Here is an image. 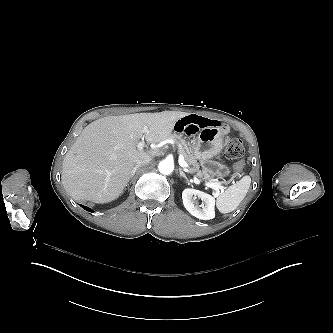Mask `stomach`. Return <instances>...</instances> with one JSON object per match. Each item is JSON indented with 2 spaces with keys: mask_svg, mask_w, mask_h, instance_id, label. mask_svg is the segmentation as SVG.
Listing matches in <instances>:
<instances>
[{
  "mask_svg": "<svg viewBox=\"0 0 333 333\" xmlns=\"http://www.w3.org/2000/svg\"><path fill=\"white\" fill-rule=\"evenodd\" d=\"M192 153L199 160L200 166L209 176L226 179L232 175V169L224 163L212 160L224 148V137L220 127L207 126L192 139Z\"/></svg>",
  "mask_w": 333,
  "mask_h": 333,
  "instance_id": "obj_1",
  "label": "stomach"
}]
</instances>
